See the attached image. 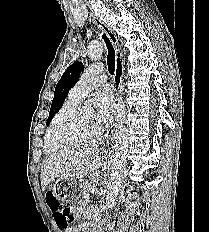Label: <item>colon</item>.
I'll list each match as a JSON object with an SVG mask.
<instances>
[{
  "instance_id": "5ec220e1",
  "label": "colon",
  "mask_w": 209,
  "mask_h": 232,
  "mask_svg": "<svg viewBox=\"0 0 209 232\" xmlns=\"http://www.w3.org/2000/svg\"><path fill=\"white\" fill-rule=\"evenodd\" d=\"M44 197L48 198V206L53 211L55 226H60L63 229L67 228L72 221L70 209L60 206L59 202L54 198L53 193H45Z\"/></svg>"
}]
</instances>
